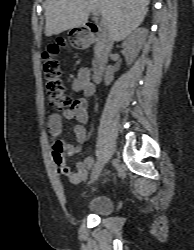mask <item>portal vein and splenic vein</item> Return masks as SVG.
<instances>
[{"instance_id":"1","label":"portal vein and splenic vein","mask_w":194,"mask_h":250,"mask_svg":"<svg viewBox=\"0 0 194 250\" xmlns=\"http://www.w3.org/2000/svg\"><path fill=\"white\" fill-rule=\"evenodd\" d=\"M91 13L94 17L99 16V12L97 10H93ZM100 24H101V26H104L106 24V20L104 18H101Z\"/></svg>"}]
</instances>
